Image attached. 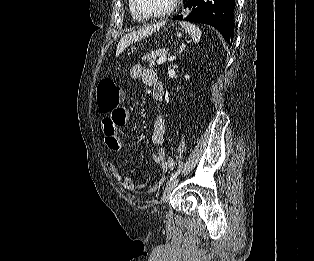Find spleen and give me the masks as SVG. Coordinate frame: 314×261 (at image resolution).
I'll return each mask as SVG.
<instances>
[{
	"label": "spleen",
	"mask_w": 314,
	"mask_h": 261,
	"mask_svg": "<svg viewBox=\"0 0 314 261\" xmlns=\"http://www.w3.org/2000/svg\"><path fill=\"white\" fill-rule=\"evenodd\" d=\"M181 26L185 29V31L191 36L194 43H198L201 39L202 32L196 25L191 23L182 22Z\"/></svg>",
	"instance_id": "3e777b00"
}]
</instances>
